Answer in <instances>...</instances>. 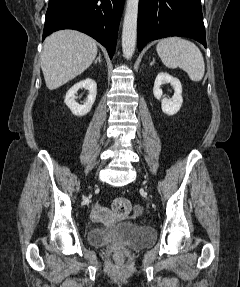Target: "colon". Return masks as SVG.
I'll return each instance as SVG.
<instances>
[{
  "instance_id": "1",
  "label": "colon",
  "mask_w": 240,
  "mask_h": 287,
  "mask_svg": "<svg viewBox=\"0 0 240 287\" xmlns=\"http://www.w3.org/2000/svg\"><path fill=\"white\" fill-rule=\"evenodd\" d=\"M112 211L113 214L117 217H126L132 211L131 202L124 197H118L112 202ZM113 260L115 263H121L123 260V255L119 251L113 253Z\"/></svg>"
}]
</instances>
